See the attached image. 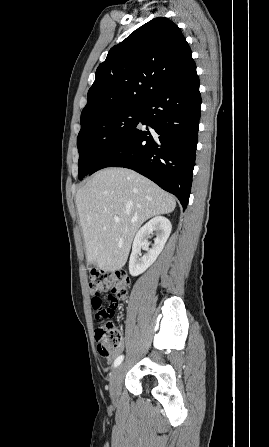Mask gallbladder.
<instances>
[{"instance_id":"obj_1","label":"gallbladder","mask_w":269,"mask_h":447,"mask_svg":"<svg viewBox=\"0 0 269 447\" xmlns=\"http://www.w3.org/2000/svg\"><path fill=\"white\" fill-rule=\"evenodd\" d=\"M89 267H92V263H89Z\"/></svg>"}]
</instances>
